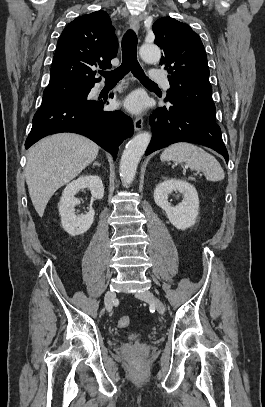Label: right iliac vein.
<instances>
[{"label":"right iliac vein","mask_w":265,"mask_h":407,"mask_svg":"<svg viewBox=\"0 0 265 407\" xmlns=\"http://www.w3.org/2000/svg\"><path fill=\"white\" fill-rule=\"evenodd\" d=\"M116 294L114 291H107L105 294L104 302H105V307L108 312L112 311L113 308V302L115 300Z\"/></svg>","instance_id":"63e3f726"}]
</instances>
